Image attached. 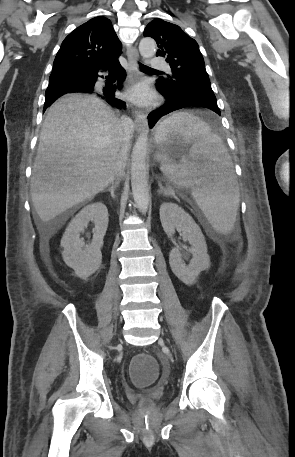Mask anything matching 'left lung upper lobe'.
I'll use <instances>...</instances> for the list:
<instances>
[{
    "label": "left lung upper lobe",
    "instance_id": "1",
    "mask_svg": "<svg viewBox=\"0 0 295 457\" xmlns=\"http://www.w3.org/2000/svg\"><path fill=\"white\" fill-rule=\"evenodd\" d=\"M144 36L155 39L157 56L166 58L172 71L160 78L157 89L176 95L213 93L197 42L182 29L162 19H154L144 30Z\"/></svg>",
    "mask_w": 295,
    "mask_h": 457
}]
</instances>
